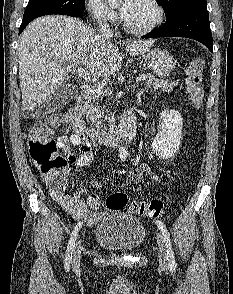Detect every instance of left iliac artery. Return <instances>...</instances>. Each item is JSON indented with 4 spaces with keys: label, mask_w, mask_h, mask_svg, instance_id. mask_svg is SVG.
<instances>
[{
    "label": "left iliac artery",
    "mask_w": 233,
    "mask_h": 294,
    "mask_svg": "<svg viewBox=\"0 0 233 294\" xmlns=\"http://www.w3.org/2000/svg\"><path fill=\"white\" fill-rule=\"evenodd\" d=\"M156 224L164 237V241L167 247V260H168L169 266L171 268H175L176 267L175 256H174V252L171 245L170 234L162 221L156 220Z\"/></svg>",
    "instance_id": "left-iliac-artery-1"
}]
</instances>
